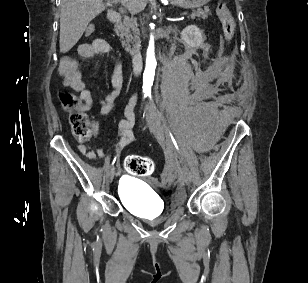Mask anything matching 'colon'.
<instances>
[{
  "label": "colon",
  "instance_id": "colon-1",
  "mask_svg": "<svg viewBox=\"0 0 308 283\" xmlns=\"http://www.w3.org/2000/svg\"><path fill=\"white\" fill-rule=\"evenodd\" d=\"M216 13L225 39L231 41L234 36L235 23L224 1L218 3ZM94 30L93 25H88L85 34L90 36ZM59 100L63 109L69 113V123L73 136L80 141L88 140L92 135V125L79 98L73 93L61 92L59 93ZM124 168L133 175L148 176L154 172L155 164L149 157L130 155L124 160Z\"/></svg>",
  "mask_w": 308,
  "mask_h": 283
}]
</instances>
